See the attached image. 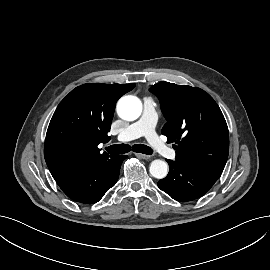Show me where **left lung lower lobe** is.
Masks as SVG:
<instances>
[{"mask_svg": "<svg viewBox=\"0 0 270 270\" xmlns=\"http://www.w3.org/2000/svg\"><path fill=\"white\" fill-rule=\"evenodd\" d=\"M169 173L158 182V187L177 201H191L203 196L221 176L212 168L167 160Z\"/></svg>", "mask_w": 270, "mask_h": 270, "instance_id": "obj_1", "label": "left lung lower lobe"}]
</instances>
